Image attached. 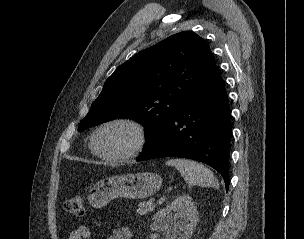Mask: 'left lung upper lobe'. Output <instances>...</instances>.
Instances as JSON below:
<instances>
[{
	"mask_svg": "<svg viewBox=\"0 0 304 239\" xmlns=\"http://www.w3.org/2000/svg\"><path fill=\"white\" fill-rule=\"evenodd\" d=\"M215 66L203 38L192 31L172 35L114 71L78 131L115 117H127L145 126L149 145L167 129Z\"/></svg>",
	"mask_w": 304,
	"mask_h": 239,
	"instance_id": "1",
	"label": "left lung upper lobe"
}]
</instances>
